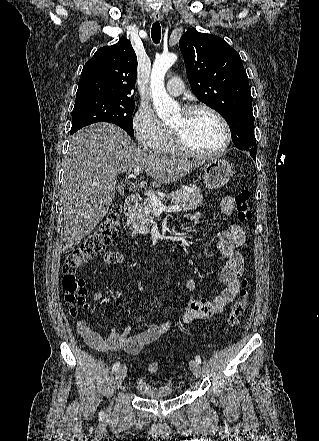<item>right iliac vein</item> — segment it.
<instances>
[{
  "instance_id": "63e3f726",
  "label": "right iliac vein",
  "mask_w": 319,
  "mask_h": 441,
  "mask_svg": "<svg viewBox=\"0 0 319 441\" xmlns=\"http://www.w3.org/2000/svg\"><path fill=\"white\" fill-rule=\"evenodd\" d=\"M127 374V366L122 365L120 368H118L116 375H115V381H114V387L119 388ZM112 405V404H111ZM111 405L107 409V412H111Z\"/></svg>"
}]
</instances>
